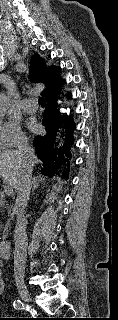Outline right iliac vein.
<instances>
[{"label": "right iliac vein", "instance_id": "63e3f726", "mask_svg": "<svg viewBox=\"0 0 118 320\" xmlns=\"http://www.w3.org/2000/svg\"><path fill=\"white\" fill-rule=\"evenodd\" d=\"M17 289L22 301L29 303L31 301V296L27 287L24 284H18Z\"/></svg>", "mask_w": 118, "mask_h": 320}]
</instances>
